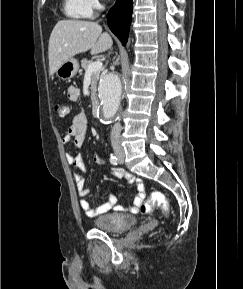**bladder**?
I'll list each match as a JSON object with an SVG mask.
<instances>
[{"label": "bladder", "mask_w": 243, "mask_h": 289, "mask_svg": "<svg viewBox=\"0 0 243 289\" xmlns=\"http://www.w3.org/2000/svg\"><path fill=\"white\" fill-rule=\"evenodd\" d=\"M137 224V218L127 213H106L94 220L96 228L107 232H123L131 229Z\"/></svg>", "instance_id": "bladder-1"}]
</instances>
